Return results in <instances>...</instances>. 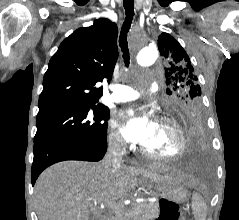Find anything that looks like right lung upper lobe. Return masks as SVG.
Masks as SVG:
<instances>
[{
  "label": "right lung upper lobe",
  "instance_id": "obj_1",
  "mask_svg": "<svg viewBox=\"0 0 239 220\" xmlns=\"http://www.w3.org/2000/svg\"><path fill=\"white\" fill-rule=\"evenodd\" d=\"M117 35L116 24L101 18L67 37L50 59L39 110L96 105L103 95L96 84L111 80L118 58Z\"/></svg>",
  "mask_w": 239,
  "mask_h": 220
}]
</instances>
